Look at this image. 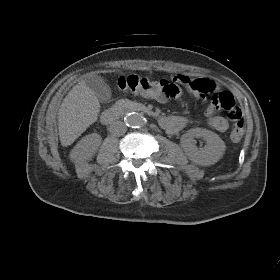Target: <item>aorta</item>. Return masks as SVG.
I'll return each instance as SVG.
<instances>
[{"instance_id": "aorta-1", "label": "aorta", "mask_w": 280, "mask_h": 280, "mask_svg": "<svg viewBox=\"0 0 280 280\" xmlns=\"http://www.w3.org/2000/svg\"><path fill=\"white\" fill-rule=\"evenodd\" d=\"M125 123L132 128H140L145 125V117L137 112H130L125 116Z\"/></svg>"}]
</instances>
